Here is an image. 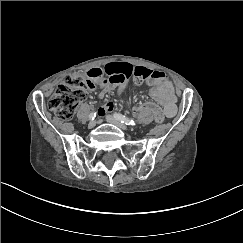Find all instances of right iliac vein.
Returning <instances> with one entry per match:
<instances>
[{"mask_svg":"<svg viewBox=\"0 0 243 243\" xmlns=\"http://www.w3.org/2000/svg\"><path fill=\"white\" fill-rule=\"evenodd\" d=\"M95 125H96V121L95 120L94 121L92 120V121L89 122L88 127L89 128H93V127H95Z\"/></svg>","mask_w":243,"mask_h":243,"instance_id":"63e3f726","label":"right iliac vein"}]
</instances>
